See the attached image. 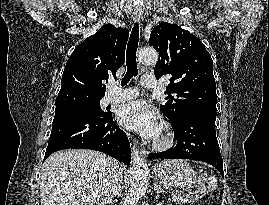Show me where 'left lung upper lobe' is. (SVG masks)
<instances>
[{
	"label": "left lung upper lobe",
	"instance_id": "left-lung-upper-lobe-1",
	"mask_svg": "<svg viewBox=\"0 0 269 205\" xmlns=\"http://www.w3.org/2000/svg\"><path fill=\"white\" fill-rule=\"evenodd\" d=\"M149 45L159 53L155 76H171L166 102L160 105L171 123L175 125L191 113L216 112L213 61L203 43L189 31L161 22L153 28Z\"/></svg>",
	"mask_w": 269,
	"mask_h": 205
}]
</instances>
